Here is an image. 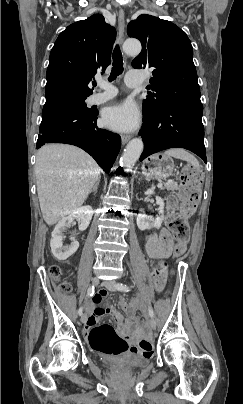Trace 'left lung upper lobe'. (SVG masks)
Listing matches in <instances>:
<instances>
[{
	"label": "left lung upper lobe",
	"mask_w": 243,
	"mask_h": 404,
	"mask_svg": "<svg viewBox=\"0 0 243 404\" xmlns=\"http://www.w3.org/2000/svg\"><path fill=\"white\" fill-rule=\"evenodd\" d=\"M129 37L142 43L141 53L132 61L136 69L152 70L143 102V116L152 119L167 104L177 101L201 103L193 48L188 36L175 24L143 14L127 27Z\"/></svg>",
	"instance_id": "1"
}]
</instances>
